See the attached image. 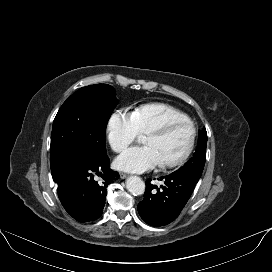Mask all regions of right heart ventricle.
<instances>
[{"mask_svg":"<svg viewBox=\"0 0 272 272\" xmlns=\"http://www.w3.org/2000/svg\"><path fill=\"white\" fill-rule=\"evenodd\" d=\"M132 114L140 134H146L151 129L170 120L189 119L181 110L160 102L141 105Z\"/></svg>","mask_w":272,"mask_h":272,"instance_id":"1","label":"right heart ventricle"}]
</instances>
